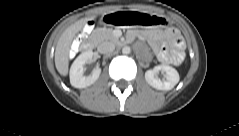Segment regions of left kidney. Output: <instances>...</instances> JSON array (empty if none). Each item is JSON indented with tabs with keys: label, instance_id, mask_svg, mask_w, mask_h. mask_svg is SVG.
<instances>
[{
	"label": "left kidney",
	"instance_id": "left-kidney-1",
	"mask_svg": "<svg viewBox=\"0 0 239 136\" xmlns=\"http://www.w3.org/2000/svg\"><path fill=\"white\" fill-rule=\"evenodd\" d=\"M163 71L166 73L165 79L161 80L157 74ZM179 73L168 65H158L145 72L146 82L155 89L169 91L179 82Z\"/></svg>",
	"mask_w": 239,
	"mask_h": 136
}]
</instances>
